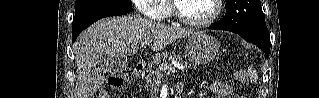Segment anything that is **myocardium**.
Here are the masks:
<instances>
[{
    "mask_svg": "<svg viewBox=\"0 0 319 98\" xmlns=\"http://www.w3.org/2000/svg\"><path fill=\"white\" fill-rule=\"evenodd\" d=\"M215 4V11L214 13L205 20H192L186 18L184 15L181 14L179 10V5L176 0L172 1V11L175 18L182 24L191 27V28H204L212 25L221 15L222 8H223V1L222 0H213Z\"/></svg>",
    "mask_w": 319,
    "mask_h": 98,
    "instance_id": "1",
    "label": "myocardium"
}]
</instances>
